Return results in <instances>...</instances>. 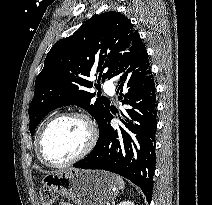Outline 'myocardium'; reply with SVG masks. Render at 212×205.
<instances>
[{"instance_id":"obj_1","label":"myocardium","mask_w":212,"mask_h":205,"mask_svg":"<svg viewBox=\"0 0 212 205\" xmlns=\"http://www.w3.org/2000/svg\"><path fill=\"white\" fill-rule=\"evenodd\" d=\"M64 118H76V119L81 120L87 128L88 139H87V142H86L84 148L81 150V152H79L73 158H71L67 161H64V162H53L46 157V155L43 151V137H44L47 129L54 122H56L60 119H64ZM97 140H98V129H97L96 124L94 123V121L91 119V117L89 115H87L84 112H80V111H67V112L59 113V114L53 116L42 126V128L38 134V137H37V150H38L40 159L45 164L52 166V167L60 168V167H66V166L72 165V164L82 160L87 155H89L91 153V151L94 149V147L96 146Z\"/></svg>"}]
</instances>
